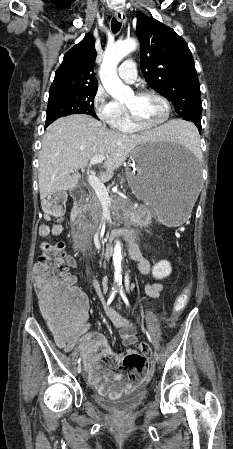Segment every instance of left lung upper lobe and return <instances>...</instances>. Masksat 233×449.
Listing matches in <instances>:
<instances>
[{"mask_svg":"<svg viewBox=\"0 0 233 449\" xmlns=\"http://www.w3.org/2000/svg\"><path fill=\"white\" fill-rule=\"evenodd\" d=\"M136 34L147 83L171 100L179 116L201 129L200 85L186 42L173 29L143 13L137 15Z\"/></svg>","mask_w":233,"mask_h":449,"instance_id":"5c2ea615","label":"left lung upper lobe"}]
</instances>
